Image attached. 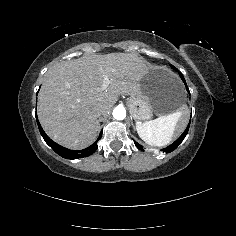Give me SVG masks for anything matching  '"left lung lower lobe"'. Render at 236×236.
I'll return each instance as SVG.
<instances>
[{
  "label": "left lung lower lobe",
  "instance_id": "obj_1",
  "mask_svg": "<svg viewBox=\"0 0 236 236\" xmlns=\"http://www.w3.org/2000/svg\"><path fill=\"white\" fill-rule=\"evenodd\" d=\"M171 68L174 69V70H176V71H178L177 68H175V67L172 66V65H171ZM178 73H179V76L181 77L182 81L184 82L188 93H190V92H189V89H188V87H187L186 81H185V79H184V77H183V75H182L180 72H178ZM190 121H191V120H190ZM189 126H190V122H189V124H188L186 130L183 132V134H182L174 143H172L170 146H168V147H166L165 149H163V151H165L166 153H170V152H172L173 150H175V149L179 146V144L184 140V138L186 137V135H187V133H188V130H189ZM134 143H135V145L138 147V149H140V150L143 151V148H142V146H141L140 144H138L135 140H134Z\"/></svg>",
  "mask_w": 236,
  "mask_h": 236
}]
</instances>
